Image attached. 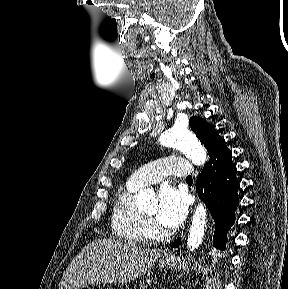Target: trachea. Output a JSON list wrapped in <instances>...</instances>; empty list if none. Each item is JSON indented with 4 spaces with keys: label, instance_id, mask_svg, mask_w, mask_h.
<instances>
[{
    "label": "trachea",
    "instance_id": "1",
    "mask_svg": "<svg viewBox=\"0 0 288 289\" xmlns=\"http://www.w3.org/2000/svg\"><path fill=\"white\" fill-rule=\"evenodd\" d=\"M186 180H192V177H191V176H188V177L186 178Z\"/></svg>",
    "mask_w": 288,
    "mask_h": 289
}]
</instances>
